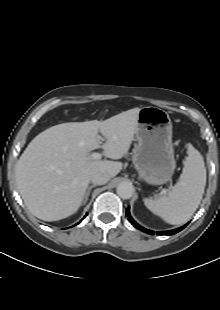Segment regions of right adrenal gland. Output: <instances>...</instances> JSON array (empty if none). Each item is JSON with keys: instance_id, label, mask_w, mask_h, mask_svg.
Masks as SVG:
<instances>
[{"instance_id": "right-adrenal-gland-1", "label": "right adrenal gland", "mask_w": 220, "mask_h": 310, "mask_svg": "<svg viewBox=\"0 0 220 310\" xmlns=\"http://www.w3.org/2000/svg\"><path fill=\"white\" fill-rule=\"evenodd\" d=\"M96 187V185H91L88 187L87 191L85 192V195H84V199H83V204H86L87 200H88V197L90 195V192H91V189Z\"/></svg>"}]
</instances>
